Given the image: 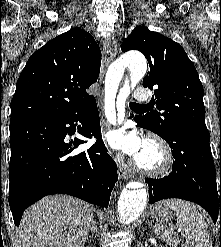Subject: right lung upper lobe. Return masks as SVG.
Instances as JSON below:
<instances>
[{"instance_id": "1", "label": "right lung upper lobe", "mask_w": 221, "mask_h": 247, "mask_svg": "<svg viewBox=\"0 0 221 247\" xmlns=\"http://www.w3.org/2000/svg\"><path fill=\"white\" fill-rule=\"evenodd\" d=\"M101 51L94 38L73 28L50 40L27 61L11 101L10 125L64 118L86 106L96 82Z\"/></svg>"}]
</instances>
